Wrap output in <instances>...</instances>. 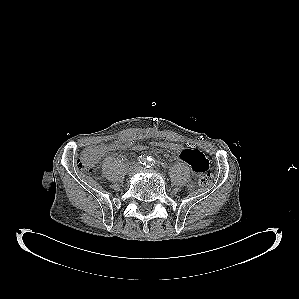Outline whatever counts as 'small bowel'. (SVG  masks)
Listing matches in <instances>:
<instances>
[{"instance_id":"small-bowel-1","label":"small bowel","mask_w":299,"mask_h":299,"mask_svg":"<svg viewBox=\"0 0 299 299\" xmlns=\"http://www.w3.org/2000/svg\"><path fill=\"white\" fill-rule=\"evenodd\" d=\"M122 141L128 147L134 144V138L131 137H125ZM175 153L183 162L187 163L191 167L193 172L201 174L208 170L209 162L205 155L198 149L192 146L186 148L180 145L179 151Z\"/></svg>"}]
</instances>
